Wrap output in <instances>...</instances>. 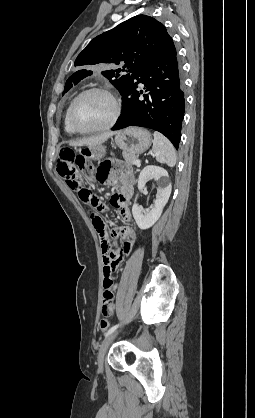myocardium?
I'll use <instances>...</instances> for the list:
<instances>
[{
  "instance_id": "obj_1",
  "label": "myocardium",
  "mask_w": 255,
  "mask_h": 418,
  "mask_svg": "<svg viewBox=\"0 0 255 418\" xmlns=\"http://www.w3.org/2000/svg\"><path fill=\"white\" fill-rule=\"evenodd\" d=\"M91 93H101L106 95L112 102L113 104V113L111 118L109 119V121L107 123H105L104 125L98 126V127H92V128H81L78 127L74 120H73V116H74V112L76 109L77 104L79 103V101L85 97L88 94ZM120 112H121V106L120 103L117 99V97L107 88L104 87H90L87 88L85 90H83L82 92H80L72 101L69 110H68V115H67V120H68V124L69 126L76 132V133H97V132H103L106 130L111 129L117 122L119 116H120Z\"/></svg>"
}]
</instances>
